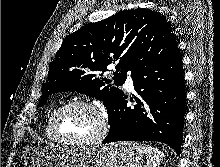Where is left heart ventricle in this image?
<instances>
[{
  "label": "left heart ventricle",
  "instance_id": "1",
  "mask_svg": "<svg viewBox=\"0 0 220 167\" xmlns=\"http://www.w3.org/2000/svg\"><path fill=\"white\" fill-rule=\"evenodd\" d=\"M97 116L82 106H72L62 112L57 120V130L66 140H82L93 136L98 130Z\"/></svg>",
  "mask_w": 220,
  "mask_h": 167
}]
</instances>
